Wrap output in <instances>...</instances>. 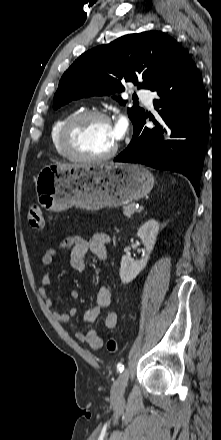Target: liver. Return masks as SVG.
I'll use <instances>...</instances> for the list:
<instances>
[{
	"instance_id": "liver-1",
	"label": "liver",
	"mask_w": 221,
	"mask_h": 440,
	"mask_svg": "<svg viewBox=\"0 0 221 440\" xmlns=\"http://www.w3.org/2000/svg\"><path fill=\"white\" fill-rule=\"evenodd\" d=\"M57 166H59V167H69V168H72V167H85V165H70V164H61V163H57Z\"/></svg>"
}]
</instances>
